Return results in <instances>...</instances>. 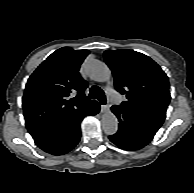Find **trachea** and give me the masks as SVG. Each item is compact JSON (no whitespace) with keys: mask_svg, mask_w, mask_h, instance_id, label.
<instances>
[{"mask_svg":"<svg viewBox=\"0 0 194 193\" xmlns=\"http://www.w3.org/2000/svg\"><path fill=\"white\" fill-rule=\"evenodd\" d=\"M89 98L98 99L101 104H106V97L104 95V92L98 86H92V88L90 89Z\"/></svg>","mask_w":194,"mask_h":193,"instance_id":"1","label":"trachea"}]
</instances>
